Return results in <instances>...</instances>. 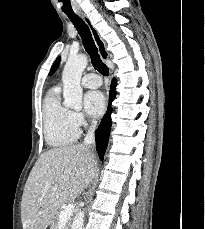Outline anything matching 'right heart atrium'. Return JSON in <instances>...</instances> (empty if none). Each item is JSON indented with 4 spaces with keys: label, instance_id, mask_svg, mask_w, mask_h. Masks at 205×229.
<instances>
[{
    "label": "right heart atrium",
    "instance_id": "obj_1",
    "mask_svg": "<svg viewBox=\"0 0 205 229\" xmlns=\"http://www.w3.org/2000/svg\"><path fill=\"white\" fill-rule=\"evenodd\" d=\"M72 120L78 130L88 125V119L82 112H72Z\"/></svg>",
    "mask_w": 205,
    "mask_h": 229
}]
</instances>
